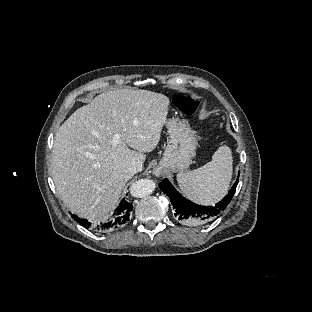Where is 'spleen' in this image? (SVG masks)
<instances>
[{
	"label": "spleen",
	"mask_w": 312,
	"mask_h": 312,
	"mask_svg": "<svg viewBox=\"0 0 312 312\" xmlns=\"http://www.w3.org/2000/svg\"><path fill=\"white\" fill-rule=\"evenodd\" d=\"M231 149L224 145L214 152L212 160L187 173H178L182 193L195 203L213 205L228 192L233 173Z\"/></svg>",
	"instance_id": "obj_1"
}]
</instances>
